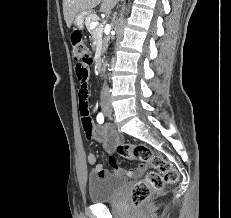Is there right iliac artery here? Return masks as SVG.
Returning a JSON list of instances; mask_svg holds the SVG:
<instances>
[{"label": "right iliac artery", "instance_id": "obj_1", "mask_svg": "<svg viewBox=\"0 0 231 218\" xmlns=\"http://www.w3.org/2000/svg\"><path fill=\"white\" fill-rule=\"evenodd\" d=\"M97 121H98V123H100V124H102V123L104 122V116H103L102 113H99V114L97 115Z\"/></svg>", "mask_w": 231, "mask_h": 218}]
</instances>
